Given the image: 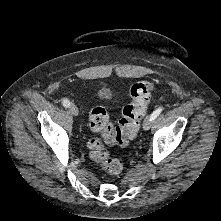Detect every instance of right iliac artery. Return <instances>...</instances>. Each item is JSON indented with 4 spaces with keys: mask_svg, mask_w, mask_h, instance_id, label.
Here are the masks:
<instances>
[{
    "mask_svg": "<svg viewBox=\"0 0 221 221\" xmlns=\"http://www.w3.org/2000/svg\"><path fill=\"white\" fill-rule=\"evenodd\" d=\"M62 104H63L64 107L68 108V107L70 106V101L67 100V99H64V100L62 101Z\"/></svg>",
    "mask_w": 221,
    "mask_h": 221,
    "instance_id": "1",
    "label": "right iliac artery"
}]
</instances>
